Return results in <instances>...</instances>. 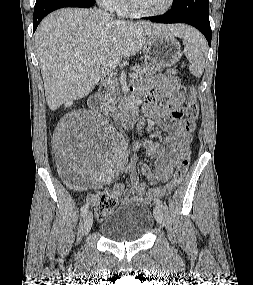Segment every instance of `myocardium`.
Returning a JSON list of instances; mask_svg holds the SVG:
<instances>
[{"instance_id":"f54148a6","label":"myocardium","mask_w":253,"mask_h":285,"mask_svg":"<svg viewBox=\"0 0 253 285\" xmlns=\"http://www.w3.org/2000/svg\"><path fill=\"white\" fill-rule=\"evenodd\" d=\"M175 0H169L167 6L157 12H145L140 9H138L134 3V0H126L127 8L129 12L136 16V17H141V18H151V17H157L166 14L169 12L172 7L174 6Z\"/></svg>"}]
</instances>
